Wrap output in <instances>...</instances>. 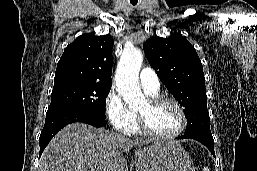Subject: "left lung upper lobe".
<instances>
[{
  "label": "left lung upper lobe",
  "instance_id": "left-lung-upper-lobe-1",
  "mask_svg": "<svg viewBox=\"0 0 257 171\" xmlns=\"http://www.w3.org/2000/svg\"><path fill=\"white\" fill-rule=\"evenodd\" d=\"M143 48L160 80L184 107L185 134H211L203 66L195 48L180 34L153 37Z\"/></svg>",
  "mask_w": 257,
  "mask_h": 171
}]
</instances>
